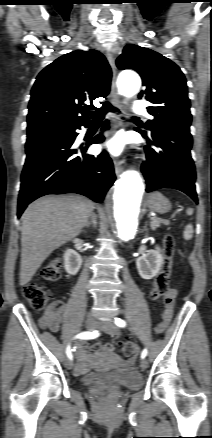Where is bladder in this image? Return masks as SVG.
Instances as JSON below:
<instances>
[{"mask_svg":"<svg viewBox=\"0 0 212 438\" xmlns=\"http://www.w3.org/2000/svg\"><path fill=\"white\" fill-rule=\"evenodd\" d=\"M84 385L97 383H112L128 389H137L141 386L140 377L130 368H123L111 373H91L80 378Z\"/></svg>","mask_w":212,"mask_h":438,"instance_id":"bladder-1","label":"bladder"}]
</instances>
